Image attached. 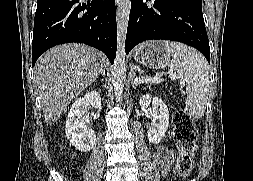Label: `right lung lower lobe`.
<instances>
[{"instance_id": "obj_1", "label": "right lung lower lobe", "mask_w": 253, "mask_h": 181, "mask_svg": "<svg viewBox=\"0 0 253 181\" xmlns=\"http://www.w3.org/2000/svg\"><path fill=\"white\" fill-rule=\"evenodd\" d=\"M115 0H37L32 66L49 48L80 42L114 62L117 50Z\"/></svg>"}]
</instances>
